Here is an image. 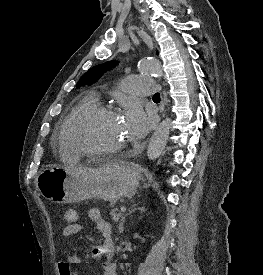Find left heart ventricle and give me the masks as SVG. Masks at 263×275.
Segmentation results:
<instances>
[{
	"mask_svg": "<svg viewBox=\"0 0 263 275\" xmlns=\"http://www.w3.org/2000/svg\"><path fill=\"white\" fill-rule=\"evenodd\" d=\"M75 139L87 149H108L131 142L122 119L119 116L101 114L83 122Z\"/></svg>",
	"mask_w": 263,
	"mask_h": 275,
	"instance_id": "1",
	"label": "left heart ventricle"
}]
</instances>
